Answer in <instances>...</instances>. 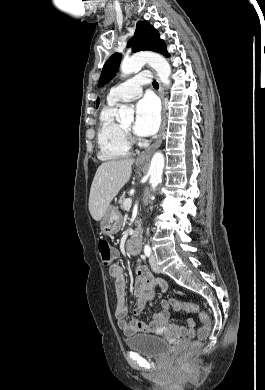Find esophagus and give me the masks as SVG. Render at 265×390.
Returning <instances> with one entry per match:
<instances>
[{"label": "esophagus", "mask_w": 265, "mask_h": 390, "mask_svg": "<svg viewBox=\"0 0 265 390\" xmlns=\"http://www.w3.org/2000/svg\"><path fill=\"white\" fill-rule=\"evenodd\" d=\"M154 75H155V78H156V80H157V82L159 84V96H160L161 102H162V124H161V128H160V131H159V134H158V137H157L156 141L150 147H148L145 151H143L139 155V157L137 158L138 162H147V161H149V159L151 158L153 152L162 143V137H163V134H164V131H165V126H166L164 90H163V86H162V84L160 82V79L158 78L156 73H154Z\"/></svg>", "instance_id": "1"}]
</instances>
